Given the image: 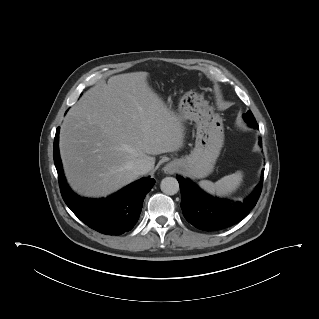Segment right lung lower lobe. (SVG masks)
Instances as JSON below:
<instances>
[{"label":"right lung lower lobe","instance_id":"98d812e1","mask_svg":"<svg viewBox=\"0 0 319 319\" xmlns=\"http://www.w3.org/2000/svg\"><path fill=\"white\" fill-rule=\"evenodd\" d=\"M59 128L54 139V163L62 197L71 211L90 228L108 235H120L136 224L146 194L155 181L140 179L106 199L81 198L66 183L58 148Z\"/></svg>","mask_w":319,"mask_h":319}]
</instances>
